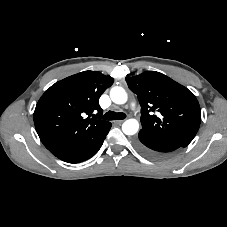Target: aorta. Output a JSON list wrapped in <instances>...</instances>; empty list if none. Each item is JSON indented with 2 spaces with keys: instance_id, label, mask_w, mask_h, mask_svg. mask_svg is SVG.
Instances as JSON below:
<instances>
[{
  "instance_id": "aorta-1",
  "label": "aorta",
  "mask_w": 227,
  "mask_h": 227,
  "mask_svg": "<svg viewBox=\"0 0 227 227\" xmlns=\"http://www.w3.org/2000/svg\"><path fill=\"white\" fill-rule=\"evenodd\" d=\"M111 100L116 104H125L128 96L126 91L119 86H115L110 90ZM139 129V122L136 119H128L122 124V131L126 135H134Z\"/></svg>"
}]
</instances>
